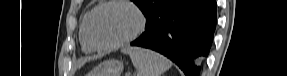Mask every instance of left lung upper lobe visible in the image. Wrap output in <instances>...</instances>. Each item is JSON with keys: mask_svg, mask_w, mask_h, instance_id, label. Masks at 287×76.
Masks as SVG:
<instances>
[{"mask_svg": "<svg viewBox=\"0 0 287 76\" xmlns=\"http://www.w3.org/2000/svg\"><path fill=\"white\" fill-rule=\"evenodd\" d=\"M144 13L146 19L150 17L155 11L162 8L171 0H132Z\"/></svg>", "mask_w": 287, "mask_h": 76, "instance_id": "left-lung-upper-lobe-1", "label": "left lung upper lobe"}]
</instances>
